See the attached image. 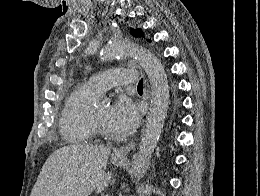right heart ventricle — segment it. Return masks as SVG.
<instances>
[{
    "label": "right heart ventricle",
    "instance_id": "right-heart-ventricle-1",
    "mask_svg": "<svg viewBox=\"0 0 260 196\" xmlns=\"http://www.w3.org/2000/svg\"><path fill=\"white\" fill-rule=\"evenodd\" d=\"M89 83L74 85L65 105L61 132L69 143H89L93 139V129L89 118L94 102L99 98ZM54 192V190H50Z\"/></svg>",
    "mask_w": 260,
    "mask_h": 196
}]
</instances>
